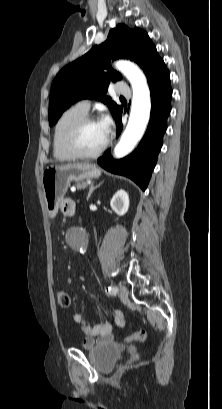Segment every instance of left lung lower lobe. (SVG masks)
<instances>
[{"label": "left lung lower lobe", "mask_w": 222, "mask_h": 409, "mask_svg": "<svg viewBox=\"0 0 222 409\" xmlns=\"http://www.w3.org/2000/svg\"><path fill=\"white\" fill-rule=\"evenodd\" d=\"M151 91V118L147 131L137 149L129 156L114 160L110 150L98 159V164L105 170L119 175H124L137 183L142 190L148 186L152 170L154 169L158 153L163 144V135L167 129V117L171 111L172 89L170 74L165 69L149 82ZM117 116V136L122 131L121 116Z\"/></svg>", "instance_id": "0a47b994"}]
</instances>
